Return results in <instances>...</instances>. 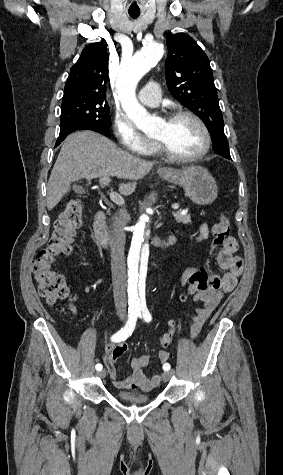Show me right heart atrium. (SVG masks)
I'll return each instance as SVG.
<instances>
[{
  "mask_svg": "<svg viewBox=\"0 0 283 475\" xmlns=\"http://www.w3.org/2000/svg\"><path fill=\"white\" fill-rule=\"evenodd\" d=\"M112 132L118 139V151L124 155H144L145 158L151 153L153 141L138 132L128 116L116 113Z\"/></svg>",
  "mask_w": 283,
  "mask_h": 475,
  "instance_id": "right-heart-atrium-1",
  "label": "right heart atrium"
}]
</instances>
